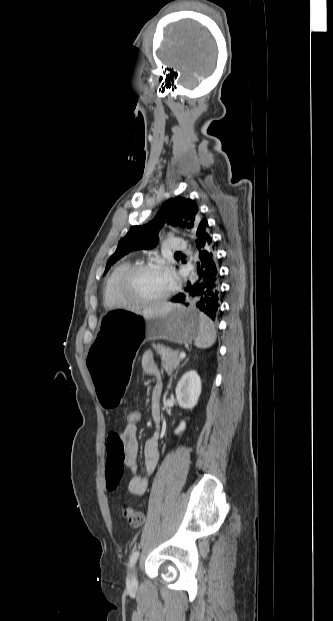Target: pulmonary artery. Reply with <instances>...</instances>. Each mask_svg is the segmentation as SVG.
Returning <instances> with one entry per match:
<instances>
[{"mask_svg":"<svg viewBox=\"0 0 333 621\" xmlns=\"http://www.w3.org/2000/svg\"><path fill=\"white\" fill-rule=\"evenodd\" d=\"M187 248V243L184 239L179 237H172L168 240V249L170 251H182Z\"/></svg>","mask_w":333,"mask_h":621,"instance_id":"obj_1","label":"pulmonary artery"}]
</instances>
